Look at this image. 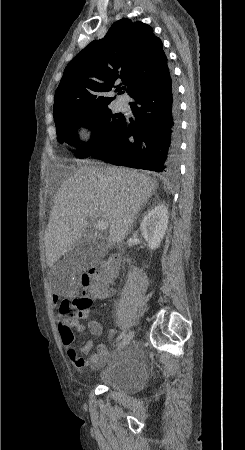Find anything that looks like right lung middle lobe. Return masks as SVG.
I'll list each match as a JSON object with an SVG mask.
<instances>
[{"instance_id": "dd1d6c3e", "label": "right lung middle lobe", "mask_w": 245, "mask_h": 450, "mask_svg": "<svg viewBox=\"0 0 245 450\" xmlns=\"http://www.w3.org/2000/svg\"><path fill=\"white\" fill-rule=\"evenodd\" d=\"M54 119L60 141L67 140L74 145L79 141L77 128L81 123L94 127L92 143L74 151L75 156L82 159L108 147L116 139L125 117L121 113L113 114L108 106L80 109L63 105L54 108Z\"/></svg>"}]
</instances>
